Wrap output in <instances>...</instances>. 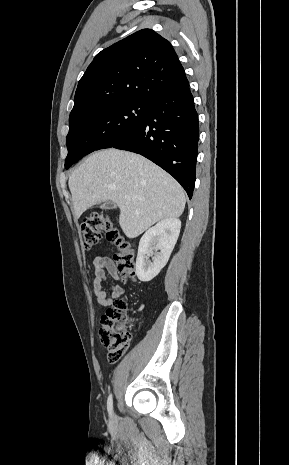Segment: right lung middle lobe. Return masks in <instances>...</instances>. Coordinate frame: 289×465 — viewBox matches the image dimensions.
Returning a JSON list of instances; mask_svg holds the SVG:
<instances>
[{"instance_id": "right-lung-middle-lobe-1", "label": "right lung middle lobe", "mask_w": 289, "mask_h": 465, "mask_svg": "<svg viewBox=\"0 0 289 465\" xmlns=\"http://www.w3.org/2000/svg\"><path fill=\"white\" fill-rule=\"evenodd\" d=\"M151 101L127 100L88 109L86 117L69 129L66 143L68 169L83 156L99 149L110 148L124 139L147 118Z\"/></svg>"}]
</instances>
